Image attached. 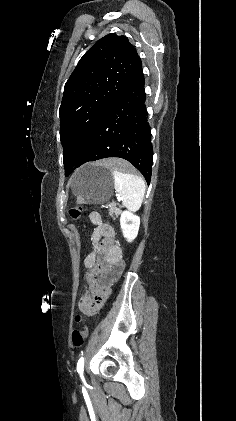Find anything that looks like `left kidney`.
Masks as SVG:
<instances>
[{
    "mask_svg": "<svg viewBox=\"0 0 236 421\" xmlns=\"http://www.w3.org/2000/svg\"><path fill=\"white\" fill-rule=\"evenodd\" d=\"M120 225L123 233V237L127 239L128 243L134 241L138 235L140 217L132 215L129 211H123L120 217Z\"/></svg>",
    "mask_w": 236,
    "mask_h": 421,
    "instance_id": "left-kidney-1",
    "label": "left kidney"
}]
</instances>
